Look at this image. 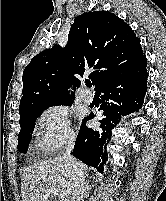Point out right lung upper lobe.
I'll list each match as a JSON object with an SVG mask.
<instances>
[{
  "label": "right lung upper lobe",
  "instance_id": "right-lung-upper-lobe-1",
  "mask_svg": "<svg viewBox=\"0 0 166 201\" xmlns=\"http://www.w3.org/2000/svg\"><path fill=\"white\" fill-rule=\"evenodd\" d=\"M140 39L131 27L108 11H93L75 18L65 49L55 45L31 60L23 72L20 116L74 99L68 86L79 87L80 76L96 88L111 74L127 69L143 58Z\"/></svg>",
  "mask_w": 166,
  "mask_h": 201
}]
</instances>
